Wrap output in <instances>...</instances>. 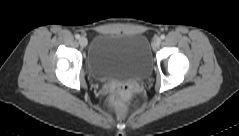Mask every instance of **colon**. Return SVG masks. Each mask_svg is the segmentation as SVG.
Wrapping results in <instances>:
<instances>
[{
  "instance_id": "1",
  "label": "colon",
  "mask_w": 239,
  "mask_h": 136,
  "mask_svg": "<svg viewBox=\"0 0 239 136\" xmlns=\"http://www.w3.org/2000/svg\"><path fill=\"white\" fill-rule=\"evenodd\" d=\"M128 87L125 85L116 86L112 90V99L116 102H121L123 95L128 92Z\"/></svg>"
}]
</instances>
